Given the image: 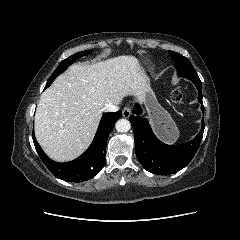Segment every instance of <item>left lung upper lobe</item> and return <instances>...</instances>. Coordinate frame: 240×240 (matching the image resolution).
Here are the masks:
<instances>
[{"instance_id":"5c2ea615","label":"left lung upper lobe","mask_w":240,"mask_h":240,"mask_svg":"<svg viewBox=\"0 0 240 240\" xmlns=\"http://www.w3.org/2000/svg\"><path fill=\"white\" fill-rule=\"evenodd\" d=\"M169 54L175 62L177 73L180 77H185L187 79L199 78L192 64L186 57L173 51H169Z\"/></svg>"}]
</instances>
